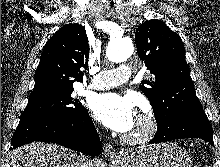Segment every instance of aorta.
<instances>
[{"mask_svg": "<svg viewBox=\"0 0 220 167\" xmlns=\"http://www.w3.org/2000/svg\"><path fill=\"white\" fill-rule=\"evenodd\" d=\"M134 51V46L131 40L120 38L110 41L106 55L109 61L121 63L126 61Z\"/></svg>", "mask_w": 220, "mask_h": 167, "instance_id": "1", "label": "aorta"}]
</instances>
